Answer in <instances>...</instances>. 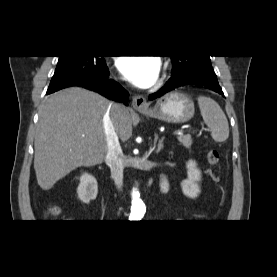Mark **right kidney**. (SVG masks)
<instances>
[{
	"label": "right kidney",
	"instance_id": "right-kidney-1",
	"mask_svg": "<svg viewBox=\"0 0 277 277\" xmlns=\"http://www.w3.org/2000/svg\"><path fill=\"white\" fill-rule=\"evenodd\" d=\"M98 193V184L94 176L89 173H83L80 177V183L77 188L78 198L88 204L96 199Z\"/></svg>",
	"mask_w": 277,
	"mask_h": 277
}]
</instances>
